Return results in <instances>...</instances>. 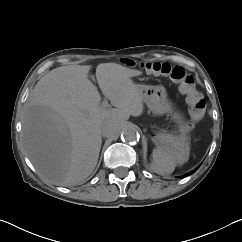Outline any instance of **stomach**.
Here are the masks:
<instances>
[{"label": "stomach", "mask_w": 242, "mask_h": 242, "mask_svg": "<svg viewBox=\"0 0 242 242\" xmlns=\"http://www.w3.org/2000/svg\"><path fill=\"white\" fill-rule=\"evenodd\" d=\"M141 92L148 108L158 115L171 114L180 132L179 136L158 132L151 137L153 143L157 149L179 154L180 159L186 161L189 155L188 124L180 113L173 110L166 88L163 85H142Z\"/></svg>", "instance_id": "1"}]
</instances>
